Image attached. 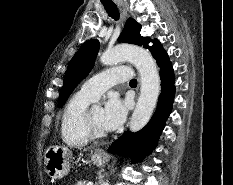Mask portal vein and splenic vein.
<instances>
[{
    "label": "portal vein and splenic vein",
    "instance_id": "18ae733b",
    "mask_svg": "<svg viewBox=\"0 0 233 185\" xmlns=\"http://www.w3.org/2000/svg\"><path fill=\"white\" fill-rule=\"evenodd\" d=\"M86 185H93V182H88Z\"/></svg>",
    "mask_w": 233,
    "mask_h": 185
}]
</instances>
